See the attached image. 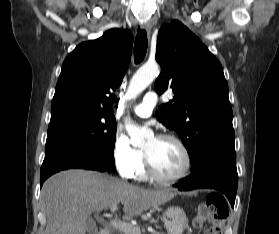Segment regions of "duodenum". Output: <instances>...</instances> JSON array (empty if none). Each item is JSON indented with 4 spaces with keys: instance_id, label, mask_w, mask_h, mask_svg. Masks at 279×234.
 I'll return each instance as SVG.
<instances>
[{
    "instance_id": "duodenum-1",
    "label": "duodenum",
    "mask_w": 279,
    "mask_h": 234,
    "mask_svg": "<svg viewBox=\"0 0 279 234\" xmlns=\"http://www.w3.org/2000/svg\"><path fill=\"white\" fill-rule=\"evenodd\" d=\"M98 234H111L110 229L108 228H104L103 230H101Z\"/></svg>"
}]
</instances>
